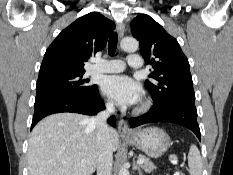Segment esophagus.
I'll return each mask as SVG.
<instances>
[{"mask_svg":"<svg viewBox=\"0 0 233 175\" xmlns=\"http://www.w3.org/2000/svg\"><path fill=\"white\" fill-rule=\"evenodd\" d=\"M125 31V25L122 22L117 24V32L119 37L122 38ZM118 131L121 135H130L132 132L124 119H120L118 122Z\"/></svg>","mask_w":233,"mask_h":175,"instance_id":"34e87169","label":"esophagus"}]
</instances>
